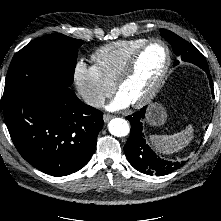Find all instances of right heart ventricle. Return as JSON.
Returning a JSON list of instances; mask_svg holds the SVG:
<instances>
[{"instance_id":"1","label":"right heart ventricle","mask_w":221,"mask_h":221,"mask_svg":"<svg viewBox=\"0 0 221 221\" xmlns=\"http://www.w3.org/2000/svg\"><path fill=\"white\" fill-rule=\"evenodd\" d=\"M146 41L135 38L104 44L93 53L92 60L100 74L114 84L130 55Z\"/></svg>"}]
</instances>
